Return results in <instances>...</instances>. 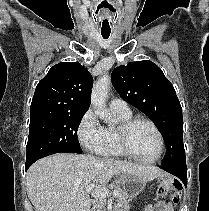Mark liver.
<instances>
[{"instance_id":"1","label":"liver","mask_w":209,"mask_h":211,"mask_svg":"<svg viewBox=\"0 0 209 211\" xmlns=\"http://www.w3.org/2000/svg\"><path fill=\"white\" fill-rule=\"evenodd\" d=\"M127 174L147 182L163 172L154 166L58 153L31 165L26 176L27 194L36 211H91L86 187L95 184L105 188L114 175L119 182Z\"/></svg>"}]
</instances>
